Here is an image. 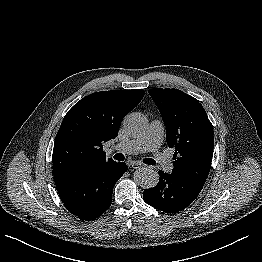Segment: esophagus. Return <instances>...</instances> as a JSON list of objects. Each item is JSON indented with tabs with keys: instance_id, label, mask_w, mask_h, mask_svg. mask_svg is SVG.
<instances>
[{
	"instance_id": "34e87169",
	"label": "esophagus",
	"mask_w": 262,
	"mask_h": 262,
	"mask_svg": "<svg viewBox=\"0 0 262 262\" xmlns=\"http://www.w3.org/2000/svg\"><path fill=\"white\" fill-rule=\"evenodd\" d=\"M132 168H134V169H140V168H143V167H145V165H143V164H141V163H139V162H134V163H132Z\"/></svg>"
}]
</instances>
